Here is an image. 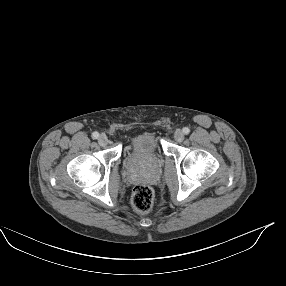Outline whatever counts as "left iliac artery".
<instances>
[{"instance_id": "44dca946", "label": "left iliac artery", "mask_w": 286, "mask_h": 286, "mask_svg": "<svg viewBox=\"0 0 286 286\" xmlns=\"http://www.w3.org/2000/svg\"><path fill=\"white\" fill-rule=\"evenodd\" d=\"M183 132H184V134H189L190 133V129L188 127H184L183 128Z\"/></svg>"}]
</instances>
